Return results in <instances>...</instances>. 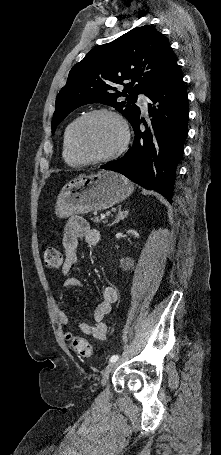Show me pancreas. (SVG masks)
<instances>
[{
	"instance_id": "1",
	"label": "pancreas",
	"mask_w": 221,
	"mask_h": 455,
	"mask_svg": "<svg viewBox=\"0 0 221 455\" xmlns=\"http://www.w3.org/2000/svg\"><path fill=\"white\" fill-rule=\"evenodd\" d=\"M91 220L96 224L106 223L105 221H102L98 216H94L93 218H91Z\"/></svg>"
}]
</instances>
